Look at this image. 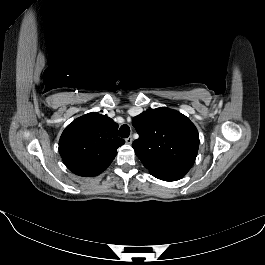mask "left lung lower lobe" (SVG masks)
Instances as JSON below:
<instances>
[{"label":"left lung lower lobe","instance_id":"obj_1","mask_svg":"<svg viewBox=\"0 0 265 265\" xmlns=\"http://www.w3.org/2000/svg\"><path fill=\"white\" fill-rule=\"evenodd\" d=\"M195 161H181L165 166H153L149 168L150 173L163 181H176L181 179L192 167Z\"/></svg>","mask_w":265,"mask_h":265}]
</instances>
